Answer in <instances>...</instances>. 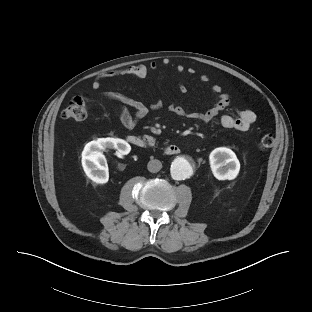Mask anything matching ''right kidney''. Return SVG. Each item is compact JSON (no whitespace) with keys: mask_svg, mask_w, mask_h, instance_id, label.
Instances as JSON below:
<instances>
[{"mask_svg":"<svg viewBox=\"0 0 312 312\" xmlns=\"http://www.w3.org/2000/svg\"><path fill=\"white\" fill-rule=\"evenodd\" d=\"M116 149L118 153L126 155L131 146L122 139L100 138L85 145L82 152V166L89 179L97 184H104L109 179L106 158L101 150Z\"/></svg>","mask_w":312,"mask_h":312,"instance_id":"1","label":"right kidney"}]
</instances>
